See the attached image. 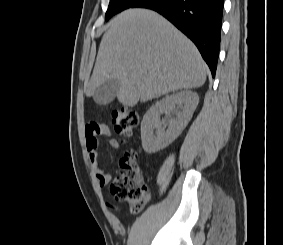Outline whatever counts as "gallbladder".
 Instances as JSON below:
<instances>
[{
  "label": "gallbladder",
  "mask_w": 283,
  "mask_h": 245,
  "mask_svg": "<svg viewBox=\"0 0 283 245\" xmlns=\"http://www.w3.org/2000/svg\"><path fill=\"white\" fill-rule=\"evenodd\" d=\"M118 89L119 81L117 79H110L95 89L93 99L99 105H108L116 97Z\"/></svg>",
  "instance_id": "bac80fb5"
}]
</instances>
